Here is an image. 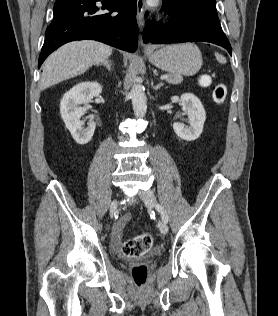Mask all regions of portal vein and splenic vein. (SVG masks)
I'll return each mask as SVG.
<instances>
[{
    "instance_id": "obj_1",
    "label": "portal vein and splenic vein",
    "mask_w": 278,
    "mask_h": 316,
    "mask_svg": "<svg viewBox=\"0 0 278 316\" xmlns=\"http://www.w3.org/2000/svg\"><path fill=\"white\" fill-rule=\"evenodd\" d=\"M167 78H168V75H162V76L160 77L161 80H166Z\"/></svg>"
}]
</instances>
